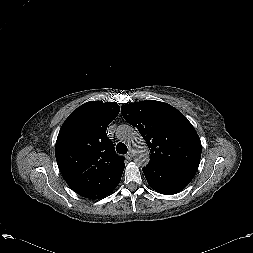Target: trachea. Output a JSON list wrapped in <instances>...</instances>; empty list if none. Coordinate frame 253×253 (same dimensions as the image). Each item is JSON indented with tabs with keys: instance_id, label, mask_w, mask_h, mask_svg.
<instances>
[{
	"instance_id": "3493384b",
	"label": "trachea",
	"mask_w": 253,
	"mask_h": 253,
	"mask_svg": "<svg viewBox=\"0 0 253 253\" xmlns=\"http://www.w3.org/2000/svg\"><path fill=\"white\" fill-rule=\"evenodd\" d=\"M116 151H117V153L124 155V154L127 153L128 149H127V146L124 143L119 142L116 146Z\"/></svg>"
}]
</instances>
